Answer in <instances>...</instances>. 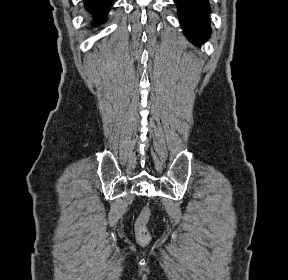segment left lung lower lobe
<instances>
[{
  "label": "left lung lower lobe",
  "mask_w": 288,
  "mask_h": 280,
  "mask_svg": "<svg viewBox=\"0 0 288 280\" xmlns=\"http://www.w3.org/2000/svg\"><path fill=\"white\" fill-rule=\"evenodd\" d=\"M181 26L187 38L201 45L210 36L208 0H175Z\"/></svg>",
  "instance_id": "obj_1"
}]
</instances>
